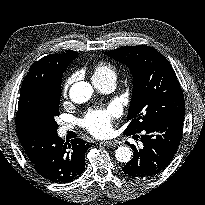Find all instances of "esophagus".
<instances>
[{
    "instance_id": "obj_1",
    "label": "esophagus",
    "mask_w": 205,
    "mask_h": 205,
    "mask_svg": "<svg viewBox=\"0 0 205 205\" xmlns=\"http://www.w3.org/2000/svg\"><path fill=\"white\" fill-rule=\"evenodd\" d=\"M117 144H118V141L116 140L100 142V145H104V146H116Z\"/></svg>"
}]
</instances>
